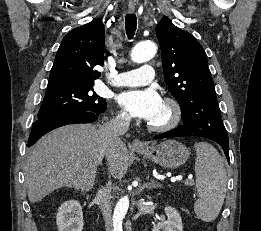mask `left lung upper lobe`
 <instances>
[{
    "mask_svg": "<svg viewBox=\"0 0 261 231\" xmlns=\"http://www.w3.org/2000/svg\"><path fill=\"white\" fill-rule=\"evenodd\" d=\"M156 35L165 82L181 107L183 122L209 138L228 139L202 46L168 17L158 23Z\"/></svg>",
    "mask_w": 261,
    "mask_h": 231,
    "instance_id": "1",
    "label": "left lung upper lobe"
}]
</instances>
